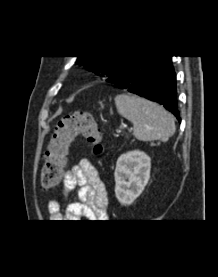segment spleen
Returning a JSON list of instances; mask_svg holds the SVG:
<instances>
[{
	"label": "spleen",
	"mask_w": 218,
	"mask_h": 277,
	"mask_svg": "<svg viewBox=\"0 0 218 277\" xmlns=\"http://www.w3.org/2000/svg\"><path fill=\"white\" fill-rule=\"evenodd\" d=\"M118 113L133 124V134L140 141H166L175 133L171 114L161 106L136 95L115 97Z\"/></svg>",
	"instance_id": "obj_1"
}]
</instances>
